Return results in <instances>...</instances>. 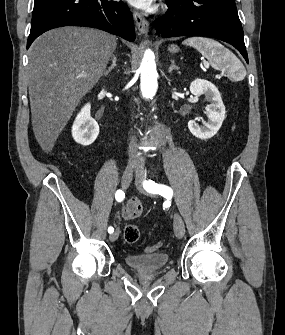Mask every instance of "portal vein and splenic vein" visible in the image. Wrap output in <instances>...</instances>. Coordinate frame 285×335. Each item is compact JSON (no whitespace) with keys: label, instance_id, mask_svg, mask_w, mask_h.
Listing matches in <instances>:
<instances>
[{"label":"portal vein and splenic vein","instance_id":"1","mask_svg":"<svg viewBox=\"0 0 285 335\" xmlns=\"http://www.w3.org/2000/svg\"><path fill=\"white\" fill-rule=\"evenodd\" d=\"M80 78H87V76H85V74H82V76H80Z\"/></svg>","mask_w":285,"mask_h":335}]
</instances>
